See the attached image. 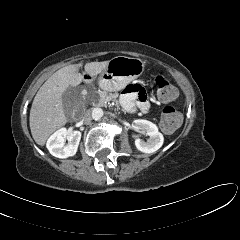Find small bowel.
Segmentation results:
<instances>
[{"mask_svg": "<svg viewBox=\"0 0 240 240\" xmlns=\"http://www.w3.org/2000/svg\"><path fill=\"white\" fill-rule=\"evenodd\" d=\"M121 104L128 112H134L136 109L147 111L149 101L144 88L136 83L129 84L121 94Z\"/></svg>", "mask_w": 240, "mask_h": 240, "instance_id": "1", "label": "small bowel"}]
</instances>
